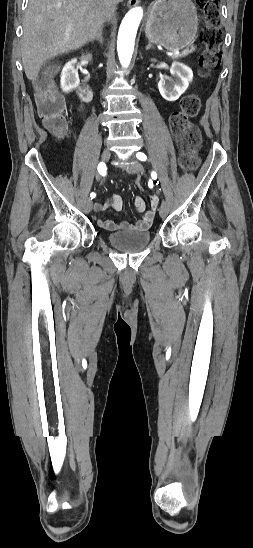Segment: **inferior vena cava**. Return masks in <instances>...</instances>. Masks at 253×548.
I'll list each match as a JSON object with an SVG mask.
<instances>
[{
	"label": "inferior vena cava",
	"mask_w": 253,
	"mask_h": 548,
	"mask_svg": "<svg viewBox=\"0 0 253 548\" xmlns=\"http://www.w3.org/2000/svg\"><path fill=\"white\" fill-rule=\"evenodd\" d=\"M123 0H104V17L110 19L116 11V5Z\"/></svg>",
	"instance_id": "602c4592"
}]
</instances>
